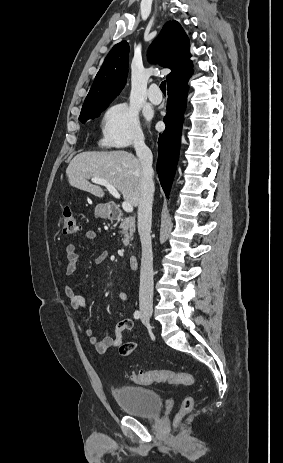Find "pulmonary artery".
Returning <instances> with one entry per match:
<instances>
[{
  "mask_svg": "<svg viewBox=\"0 0 283 463\" xmlns=\"http://www.w3.org/2000/svg\"><path fill=\"white\" fill-rule=\"evenodd\" d=\"M148 99L154 104L158 105L162 101V96L159 93V87L157 84H152L148 90Z\"/></svg>",
  "mask_w": 283,
  "mask_h": 463,
  "instance_id": "obj_1",
  "label": "pulmonary artery"
}]
</instances>
